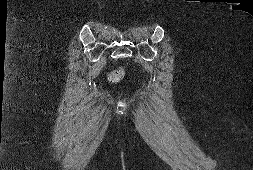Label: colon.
Returning <instances> with one entry per match:
<instances>
[{"mask_svg":"<svg viewBox=\"0 0 253 170\" xmlns=\"http://www.w3.org/2000/svg\"><path fill=\"white\" fill-rule=\"evenodd\" d=\"M123 76L124 71L122 69H118L110 74L109 80L113 83H117L122 80Z\"/></svg>","mask_w":253,"mask_h":170,"instance_id":"obj_1","label":"colon"}]
</instances>
